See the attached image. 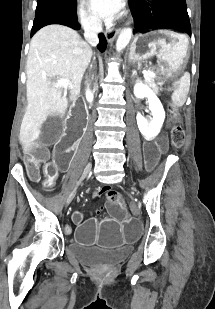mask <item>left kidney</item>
Instances as JSON below:
<instances>
[{
	"label": "left kidney",
	"mask_w": 215,
	"mask_h": 309,
	"mask_svg": "<svg viewBox=\"0 0 215 309\" xmlns=\"http://www.w3.org/2000/svg\"><path fill=\"white\" fill-rule=\"evenodd\" d=\"M133 92L137 98H143V96H147L148 98L149 110L152 112V118H145V116H142L141 112H137L136 120L140 132L144 134L147 140H152L154 136L159 134L165 120L166 114L163 104L160 102L155 92H153L147 84H143V82H136Z\"/></svg>",
	"instance_id": "1"
}]
</instances>
